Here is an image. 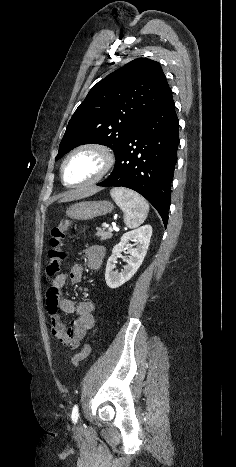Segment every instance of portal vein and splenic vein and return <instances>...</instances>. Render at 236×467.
Listing matches in <instances>:
<instances>
[{
	"label": "portal vein and splenic vein",
	"instance_id": "18ae733b",
	"mask_svg": "<svg viewBox=\"0 0 236 467\" xmlns=\"http://www.w3.org/2000/svg\"><path fill=\"white\" fill-rule=\"evenodd\" d=\"M115 228H116L115 226L114 227H109L108 230L113 231Z\"/></svg>",
	"mask_w": 236,
	"mask_h": 467
}]
</instances>
